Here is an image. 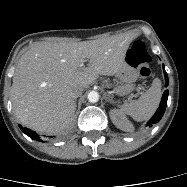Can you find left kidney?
I'll return each instance as SVG.
<instances>
[{
	"mask_svg": "<svg viewBox=\"0 0 187 187\" xmlns=\"http://www.w3.org/2000/svg\"><path fill=\"white\" fill-rule=\"evenodd\" d=\"M109 114L111 121L117 128L123 131H131L133 129V125L129 122V120L121 111L113 109L110 111Z\"/></svg>",
	"mask_w": 187,
	"mask_h": 187,
	"instance_id": "5707ae66",
	"label": "left kidney"
}]
</instances>
